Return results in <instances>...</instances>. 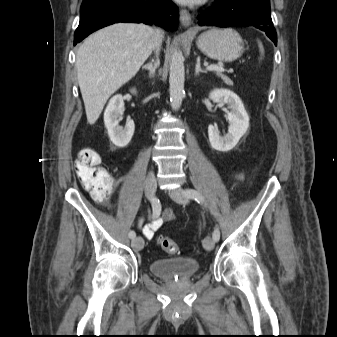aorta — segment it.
I'll return each instance as SVG.
<instances>
[{
    "label": "aorta",
    "instance_id": "1",
    "mask_svg": "<svg viewBox=\"0 0 337 337\" xmlns=\"http://www.w3.org/2000/svg\"><path fill=\"white\" fill-rule=\"evenodd\" d=\"M185 69L182 53L175 49L170 63L169 91L173 110H178L184 97Z\"/></svg>",
    "mask_w": 337,
    "mask_h": 337
}]
</instances>
